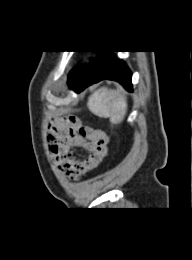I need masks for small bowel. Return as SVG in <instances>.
<instances>
[{"mask_svg":"<svg viewBox=\"0 0 192 260\" xmlns=\"http://www.w3.org/2000/svg\"><path fill=\"white\" fill-rule=\"evenodd\" d=\"M49 151L58 169L72 181L81 179L101 163L107 152L108 137L101 129L84 125L77 117L56 120L48 134ZM83 147L87 157L78 160L72 149Z\"/></svg>","mask_w":192,"mask_h":260,"instance_id":"1","label":"small bowel"}]
</instances>
